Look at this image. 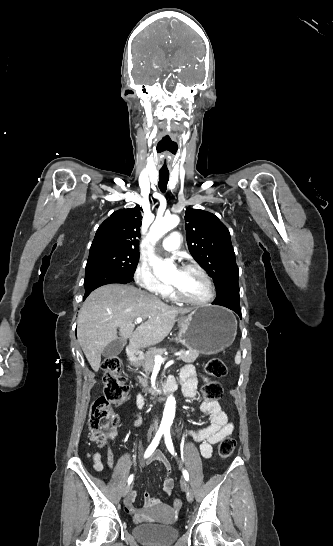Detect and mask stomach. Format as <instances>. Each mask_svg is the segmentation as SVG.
<instances>
[{
    "label": "stomach",
    "instance_id": "1",
    "mask_svg": "<svg viewBox=\"0 0 333 546\" xmlns=\"http://www.w3.org/2000/svg\"><path fill=\"white\" fill-rule=\"evenodd\" d=\"M237 321L221 306L200 307L179 320V341L190 351L214 355L235 340Z\"/></svg>",
    "mask_w": 333,
    "mask_h": 546
}]
</instances>
